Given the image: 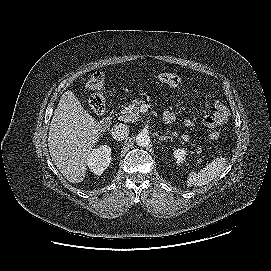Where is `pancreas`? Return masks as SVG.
<instances>
[{
  "instance_id": "obj_1",
  "label": "pancreas",
  "mask_w": 271,
  "mask_h": 271,
  "mask_svg": "<svg viewBox=\"0 0 271 271\" xmlns=\"http://www.w3.org/2000/svg\"><path fill=\"white\" fill-rule=\"evenodd\" d=\"M143 103V101L139 100V99H135L133 100L128 107H125L122 111H121V115L119 116V120L120 121H124V122H136L139 120L140 118V106ZM171 135L173 136H177L178 133L176 131H172ZM181 139L183 141H189L191 142L190 138L188 135H183L181 137ZM191 146L195 147V144L191 143ZM196 152L197 153H201V148L200 147H196ZM198 163L201 162V159L197 160Z\"/></svg>"
}]
</instances>
